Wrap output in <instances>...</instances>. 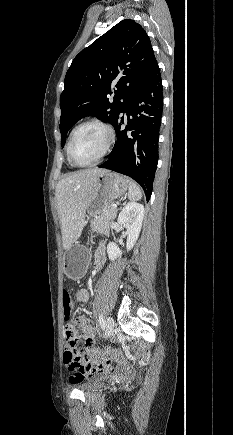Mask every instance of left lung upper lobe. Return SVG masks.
I'll list each match as a JSON object with an SVG mask.
<instances>
[{
	"mask_svg": "<svg viewBox=\"0 0 233 435\" xmlns=\"http://www.w3.org/2000/svg\"><path fill=\"white\" fill-rule=\"evenodd\" d=\"M157 65L141 25L126 19L83 49L68 69L60 96L61 146L81 118L96 116L112 125ZM111 86L115 87V95Z\"/></svg>",
	"mask_w": 233,
	"mask_h": 435,
	"instance_id": "obj_1",
	"label": "left lung upper lobe"
}]
</instances>
